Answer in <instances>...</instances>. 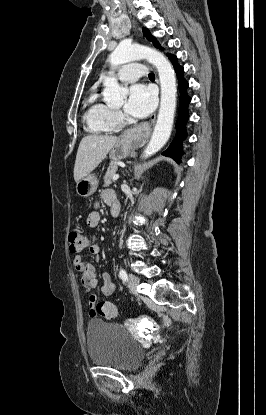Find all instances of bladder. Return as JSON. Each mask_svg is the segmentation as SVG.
<instances>
[{
  "label": "bladder",
  "mask_w": 266,
  "mask_h": 415,
  "mask_svg": "<svg viewBox=\"0 0 266 415\" xmlns=\"http://www.w3.org/2000/svg\"><path fill=\"white\" fill-rule=\"evenodd\" d=\"M86 346L92 364L123 371L138 368L146 354L122 325L101 319L89 321Z\"/></svg>",
  "instance_id": "bladder-1"
}]
</instances>
